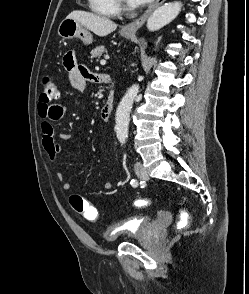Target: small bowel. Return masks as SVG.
<instances>
[{
	"label": "small bowel",
	"mask_w": 249,
	"mask_h": 294,
	"mask_svg": "<svg viewBox=\"0 0 249 294\" xmlns=\"http://www.w3.org/2000/svg\"><path fill=\"white\" fill-rule=\"evenodd\" d=\"M64 68L71 87L77 91H83L87 82H100V75L92 73L86 65L76 61L74 51L66 53L64 57ZM38 112L41 118L40 128L43 148L48 159L50 161H56L62 151L61 146L57 143V138L67 140L73 137L70 134H57L55 130V124L63 119L66 109L61 104L41 102L38 107ZM54 176L61 183L62 190L68 191L71 189V183L64 179V173L62 171L56 170ZM103 188L110 191L114 188V183L112 181H105Z\"/></svg>",
	"instance_id": "c3829d8e"
}]
</instances>
